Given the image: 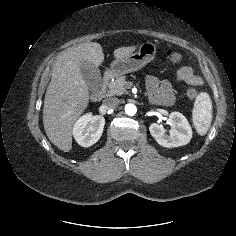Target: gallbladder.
I'll list each match as a JSON object with an SVG mask.
<instances>
[{
  "label": "gallbladder",
  "instance_id": "1",
  "mask_svg": "<svg viewBox=\"0 0 236 236\" xmlns=\"http://www.w3.org/2000/svg\"><path fill=\"white\" fill-rule=\"evenodd\" d=\"M80 71L88 89L92 92H98L102 84L99 68L90 61L83 60L80 63Z\"/></svg>",
  "mask_w": 236,
  "mask_h": 236
}]
</instances>
